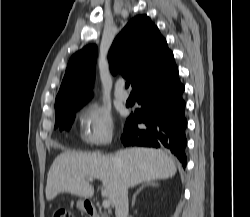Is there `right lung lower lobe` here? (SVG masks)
Listing matches in <instances>:
<instances>
[{
	"mask_svg": "<svg viewBox=\"0 0 250 217\" xmlns=\"http://www.w3.org/2000/svg\"><path fill=\"white\" fill-rule=\"evenodd\" d=\"M142 107L126 120L121 141L125 146L137 145L165 148L186 166L184 85L171 54L164 64L134 89ZM145 128L138 129V124Z\"/></svg>",
	"mask_w": 250,
	"mask_h": 217,
	"instance_id": "right-lung-lower-lobe-1",
	"label": "right lung lower lobe"
}]
</instances>
